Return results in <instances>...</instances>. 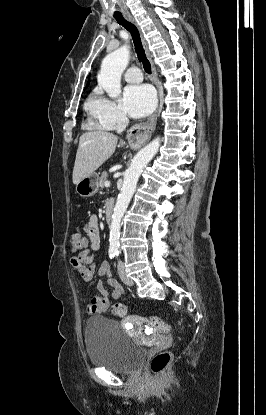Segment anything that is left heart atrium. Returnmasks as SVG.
Returning a JSON list of instances; mask_svg holds the SVG:
<instances>
[{"label": "left heart atrium", "instance_id": "obj_1", "mask_svg": "<svg viewBox=\"0 0 266 415\" xmlns=\"http://www.w3.org/2000/svg\"><path fill=\"white\" fill-rule=\"evenodd\" d=\"M155 104V92L149 85H132L124 91L122 105L133 118L145 117L153 111Z\"/></svg>", "mask_w": 266, "mask_h": 415}]
</instances>
